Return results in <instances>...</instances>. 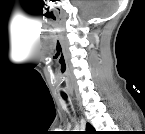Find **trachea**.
<instances>
[{
    "instance_id": "1",
    "label": "trachea",
    "mask_w": 145,
    "mask_h": 134,
    "mask_svg": "<svg viewBox=\"0 0 145 134\" xmlns=\"http://www.w3.org/2000/svg\"><path fill=\"white\" fill-rule=\"evenodd\" d=\"M63 98H64V99H67V96L63 95Z\"/></svg>"
}]
</instances>
